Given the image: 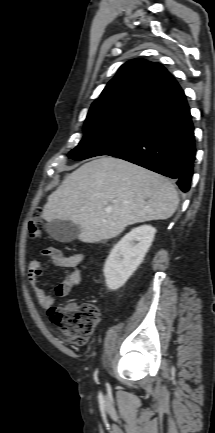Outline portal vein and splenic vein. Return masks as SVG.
<instances>
[{"label":"portal vein and splenic vein","instance_id":"obj_1","mask_svg":"<svg viewBox=\"0 0 215 433\" xmlns=\"http://www.w3.org/2000/svg\"><path fill=\"white\" fill-rule=\"evenodd\" d=\"M106 212H107V213H110V212H111V210H110V209H106Z\"/></svg>","mask_w":215,"mask_h":433}]
</instances>
